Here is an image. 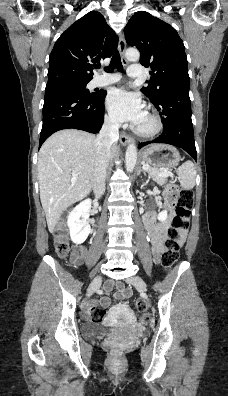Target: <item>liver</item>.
Returning <instances> with one entry per match:
<instances>
[{
  "mask_svg": "<svg viewBox=\"0 0 228 396\" xmlns=\"http://www.w3.org/2000/svg\"><path fill=\"white\" fill-rule=\"evenodd\" d=\"M117 153L118 147L113 145L110 158ZM97 154V137L75 129L54 133L40 148V199L50 232L63 211L91 191ZM73 176L78 177L75 182Z\"/></svg>",
  "mask_w": 228,
  "mask_h": 396,
  "instance_id": "obj_1",
  "label": "liver"
}]
</instances>
